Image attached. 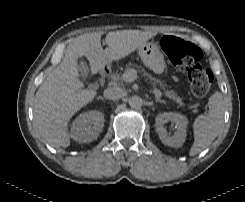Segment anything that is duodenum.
<instances>
[{
    "mask_svg": "<svg viewBox=\"0 0 245 202\" xmlns=\"http://www.w3.org/2000/svg\"><path fill=\"white\" fill-rule=\"evenodd\" d=\"M110 75V68L108 65L103 66L99 71V76L102 80L106 79Z\"/></svg>",
    "mask_w": 245,
    "mask_h": 202,
    "instance_id": "1",
    "label": "duodenum"
}]
</instances>
